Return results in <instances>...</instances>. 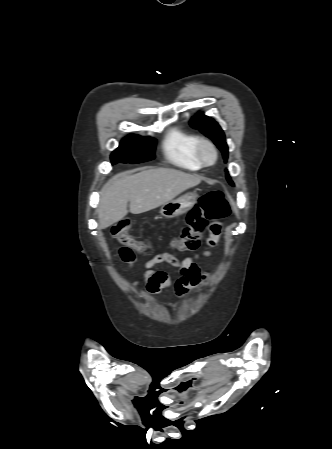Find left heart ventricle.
I'll use <instances>...</instances> for the list:
<instances>
[{
    "label": "left heart ventricle",
    "instance_id": "left-heart-ventricle-1",
    "mask_svg": "<svg viewBox=\"0 0 332 449\" xmlns=\"http://www.w3.org/2000/svg\"><path fill=\"white\" fill-rule=\"evenodd\" d=\"M205 156L209 159L211 157V153L209 150H205Z\"/></svg>",
    "mask_w": 332,
    "mask_h": 449
}]
</instances>
